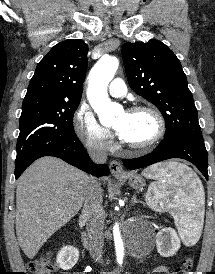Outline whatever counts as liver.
Masks as SVG:
<instances>
[{
	"label": "liver",
	"mask_w": 215,
	"mask_h": 274,
	"mask_svg": "<svg viewBox=\"0 0 215 274\" xmlns=\"http://www.w3.org/2000/svg\"><path fill=\"white\" fill-rule=\"evenodd\" d=\"M90 177L54 157L36 160L21 175L16 190V234L32 259L42 245L80 210Z\"/></svg>",
	"instance_id": "6515ba94"
}]
</instances>
